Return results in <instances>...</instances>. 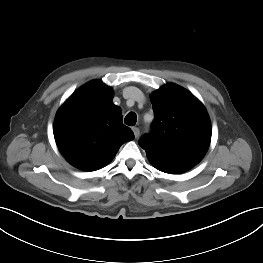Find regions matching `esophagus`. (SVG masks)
<instances>
[{
  "label": "esophagus",
  "instance_id": "1",
  "mask_svg": "<svg viewBox=\"0 0 263 263\" xmlns=\"http://www.w3.org/2000/svg\"><path fill=\"white\" fill-rule=\"evenodd\" d=\"M132 130H133V133H134L135 138H138L139 135H140V130H139V128L133 127Z\"/></svg>",
  "mask_w": 263,
  "mask_h": 263
}]
</instances>
